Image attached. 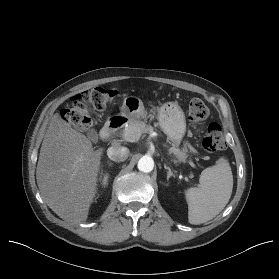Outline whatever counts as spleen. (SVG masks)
I'll return each mask as SVG.
<instances>
[{
  "label": "spleen",
  "instance_id": "1",
  "mask_svg": "<svg viewBox=\"0 0 279 279\" xmlns=\"http://www.w3.org/2000/svg\"><path fill=\"white\" fill-rule=\"evenodd\" d=\"M199 186L185 192L188 220L201 224L213 219L229 202L233 189V175L228 162L220 158L215 165L204 169Z\"/></svg>",
  "mask_w": 279,
  "mask_h": 279
}]
</instances>
